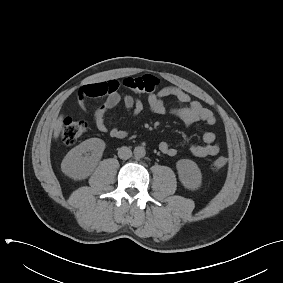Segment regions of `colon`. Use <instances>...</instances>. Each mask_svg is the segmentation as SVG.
I'll use <instances>...</instances> for the list:
<instances>
[{
	"mask_svg": "<svg viewBox=\"0 0 283 283\" xmlns=\"http://www.w3.org/2000/svg\"><path fill=\"white\" fill-rule=\"evenodd\" d=\"M159 81L152 75H143L135 78H125L121 86L136 93H152L158 87ZM87 123L81 119L66 118L62 128V140L65 144H74L86 131ZM227 165L225 157L216 158L211 167L220 170Z\"/></svg>",
	"mask_w": 283,
	"mask_h": 283,
	"instance_id": "colon-1",
	"label": "colon"
}]
</instances>
